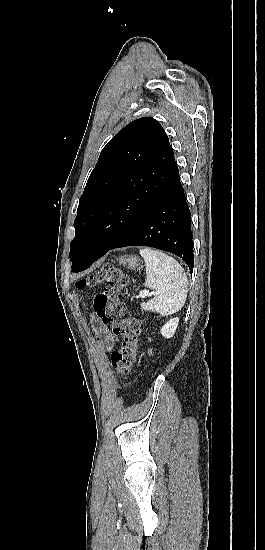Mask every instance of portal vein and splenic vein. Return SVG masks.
<instances>
[{"label": "portal vein and splenic vein", "mask_w": 265, "mask_h": 550, "mask_svg": "<svg viewBox=\"0 0 265 550\" xmlns=\"http://www.w3.org/2000/svg\"><path fill=\"white\" fill-rule=\"evenodd\" d=\"M147 295H148V294L145 293V292H141V293H140V296H142V297H145V296H147Z\"/></svg>", "instance_id": "obj_1"}]
</instances>
